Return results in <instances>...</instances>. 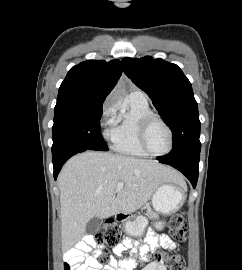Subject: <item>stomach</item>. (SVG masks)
Wrapping results in <instances>:
<instances>
[{"label": "stomach", "mask_w": 242, "mask_h": 270, "mask_svg": "<svg viewBox=\"0 0 242 270\" xmlns=\"http://www.w3.org/2000/svg\"><path fill=\"white\" fill-rule=\"evenodd\" d=\"M186 186L176 183H164L160 185L152 197V205L156 212L163 215H171L178 211L185 200ZM147 219L137 216L134 219L127 218L124 223L125 232L133 237H141L144 234ZM163 223H156L157 228H162Z\"/></svg>", "instance_id": "stomach-1"}]
</instances>
